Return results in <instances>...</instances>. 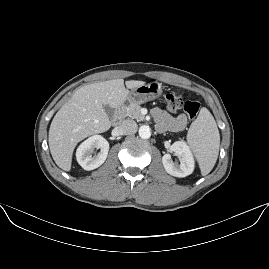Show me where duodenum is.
Listing matches in <instances>:
<instances>
[{
	"mask_svg": "<svg viewBox=\"0 0 269 269\" xmlns=\"http://www.w3.org/2000/svg\"><path fill=\"white\" fill-rule=\"evenodd\" d=\"M123 118H124V107L123 105H119L115 110L113 123L117 125L123 120Z\"/></svg>",
	"mask_w": 269,
	"mask_h": 269,
	"instance_id": "obj_1",
	"label": "duodenum"
}]
</instances>
